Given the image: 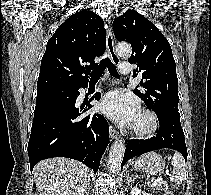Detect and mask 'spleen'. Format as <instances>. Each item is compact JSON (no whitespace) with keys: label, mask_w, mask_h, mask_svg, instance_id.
Listing matches in <instances>:
<instances>
[{"label":"spleen","mask_w":211,"mask_h":195,"mask_svg":"<svg viewBox=\"0 0 211 195\" xmlns=\"http://www.w3.org/2000/svg\"><path fill=\"white\" fill-rule=\"evenodd\" d=\"M171 164L173 166V171L170 174V180L177 184H181L185 173V160L183 156L176 152L172 157Z\"/></svg>","instance_id":"3e777b00"}]
</instances>
